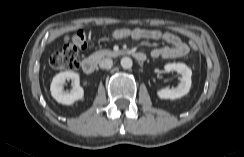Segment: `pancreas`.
I'll return each instance as SVG.
<instances>
[{
	"label": "pancreas",
	"mask_w": 244,
	"mask_h": 157,
	"mask_svg": "<svg viewBox=\"0 0 244 157\" xmlns=\"http://www.w3.org/2000/svg\"><path fill=\"white\" fill-rule=\"evenodd\" d=\"M119 53L111 50H99L91 55L92 58L100 61L104 57H116Z\"/></svg>",
	"instance_id": "1"
}]
</instances>
